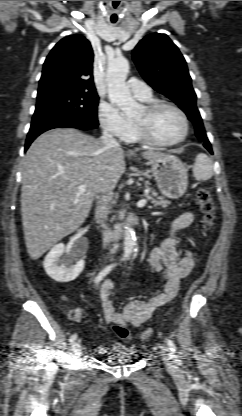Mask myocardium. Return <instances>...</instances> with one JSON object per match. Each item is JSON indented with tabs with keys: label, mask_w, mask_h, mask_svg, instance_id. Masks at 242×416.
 I'll list each match as a JSON object with an SVG mask.
<instances>
[{
	"label": "myocardium",
	"mask_w": 242,
	"mask_h": 416,
	"mask_svg": "<svg viewBox=\"0 0 242 416\" xmlns=\"http://www.w3.org/2000/svg\"><path fill=\"white\" fill-rule=\"evenodd\" d=\"M162 107L171 108L180 116L183 123V132L181 136L173 141L158 140L151 134L146 122L134 120V129L138 139L147 145L158 147H169L182 143L189 133V120L185 112L179 106L165 100H151L143 105V109L147 115H151Z\"/></svg>",
	"instance_id": "f54148a6"
}]
</instances>
